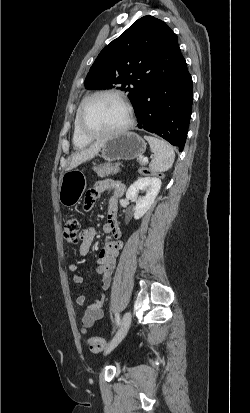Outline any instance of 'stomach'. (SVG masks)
Listing matches in <instances>:
<instances>
[{"instance_id":"1","label":"stomach","mask_w":250,"mask_h":413,"mask_svg":"<svg viewBox=\"0 0 250 413\" xmlns=\"http://www.w3.org/2000/svg\"><path fill=\"white\" fill-rule=\"evenodd\" d=\"M146 150V142L134 132H125L104 140L101 156L106 161L132 160L139 158ZM86 188V179L82 172L67 171L59 187V201L65 207L75 206Z\"/></svg>"}]
</instances>
